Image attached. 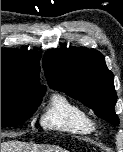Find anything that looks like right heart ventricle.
Returning a JSON list of instances; mask_svg holds the SVG:
<instances>
[{
	"label": "right heart ventricle",
	"instance_id": "obj_1",
	"mask_svg": "<svg viewBox=\"0 0 123 152\" xmlns=\"http://www.w3.org/2000/svg\"><path fill=\"white\" fill-rule=\"evenodd\" d=\"M44 128L74 135H89L94 130L90 115L62 94H54L41 116Z\"/></svg>",
	"mask_w": 123,
	"mask_h": 152
}]
</instances>
